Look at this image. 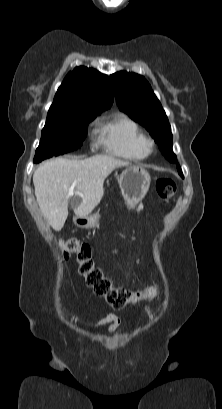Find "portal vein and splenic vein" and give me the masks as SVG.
<instances>
[{
    "mask_svg": "<svg viewBox=\"0 0 222 409\" xmlns=\"http://www.w3.org/2000/svg\"><path fill=\"white\" fill-rule=\"evenodd\" d=\"M75 185H76V182H74V183L72 184V186L70 187V189H69L70 192H73V190H74V188H75Z\"/></svg>",
    "mask_w": 222,
    "mask_h": 409,
    "instance_id": "portal-vein-and-splenic-vein-1",
    "label": "portal vein and splenic vein"
}]
</instances>
